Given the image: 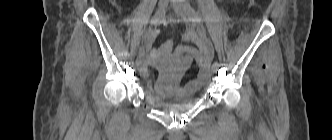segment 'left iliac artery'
I'll use <instances>...</instances> for the list:
<instances>
[{"label": "left iliac artery", "instance_id": "44dca946", "mask_svg": "<svg viewBox=\"0 0 332 140\" xmlns=\"http://www.w3.org/2000/svg\"><path fill=\"white\" fill-rule=\"evenodd\" d=\"M188 9H189V13H190V20L194 23H201V18L199 17L196 10L193 7H191L189 4H188ZM213 66H215L216 68H219L220 64L218 63V61H215Z\"/></svg>", "mask_w": 332, "mask_h": 140}]
</instances>
